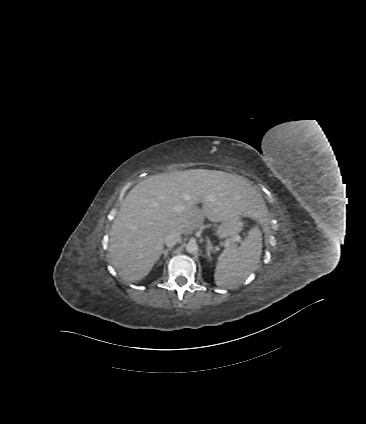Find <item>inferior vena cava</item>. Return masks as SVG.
Returning <instances> with one entry per match:
<instances>
[{
  "mask_svg": "<svg viewBox=\"0 0 366 424\" xmlns=\"http://www.w3.org/2000/svg\"><path fill=\"white\" fill-rule=\"evenodd\" d=\"M181 238V233L178 230L170 231L165 237L164 243L168 247L174 246Z\"/></svg>",
  "mask_w": 366,
  "mask_h": 424,
  "instance_id": "602c4592",
  "label": "inferior vena cava"
}]
</instances>
